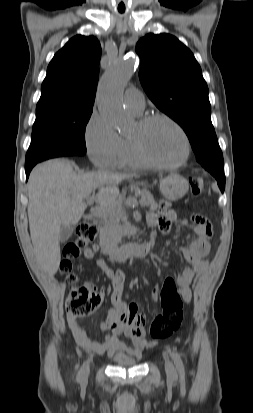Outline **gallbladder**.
<instances>
[{
  "label": "gallbladder",
  "mask_w": 253,
  "mask_h": 413,
  "mask_svg": "<svg viewBox=\"0 0 253 413\" xmlns=\"http://www.w3.org/2000/svg\"><path fill=\"white\" fill-rule=\"evenodd\" d=\"M73 233L72 226H62L59 233V242L64 243L66 242Z\"/></svg>",
  "instance_id": "obj_1"
}]
</instances>
